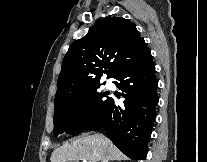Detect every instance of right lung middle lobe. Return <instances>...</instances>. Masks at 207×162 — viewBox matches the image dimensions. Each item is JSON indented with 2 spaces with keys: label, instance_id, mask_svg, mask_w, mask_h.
I'll use <instances>...</instances> for the list:
<instances>
[{
  "label": "right lung middle lobe",
  "instance_id": "right-lung-middle-lobe-1",
  "mask_svg": "<svg viewBox=\"0 0 207 162\" xmlns=\"http://www.w3.org/2000/svg\"><path fill=\"white\" fill-rule=\"evenodd\" d=\"M97 88L55 99V136L64 131L77 135L87 128L110 100L106 93L97 92ZM88 109H90V113L86 114Z\"/></svg>",
  "mask_w": 207,
  "mask_h": 162
}]
</instances>
